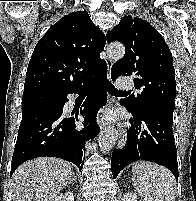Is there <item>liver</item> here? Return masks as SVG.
<instances>
[{
    "label": "liver",
    "mask_w": 196,
    "mask_h": 201,
    "mask_svg": "<svg viewBox=\"0 0 196 201\" xmlns=\"http://www.w3.org/2000/svg\"><path fill=\"white\" fill-rule=\"evenodd\" d=\"M68 162L39 157L20 165L12 176L13 201H51L72 179Z\"/></svg>",
    "instance_id": "6515ba94"
}]
</instances>
